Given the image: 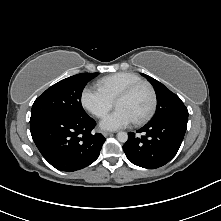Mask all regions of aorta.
I'll return each mask as SVG.
<instances>
[{"mask_svg": "<svg viewBox=\"0 0 221 221\" xmlns=\"http://www.w3.org/2000/svg\"><path fill=\"white\" fill-rule=\"evenodd\" d=\"M117 139L121 143H125L128 140V134L126 132H118Z\"/></svg>", "mask_w": 221, "mask_h": 221, "instance_id": "obj_1", "label": "aorta"}]
</instances>
